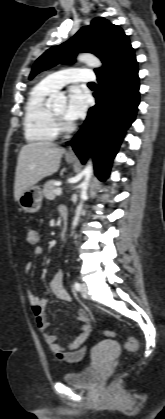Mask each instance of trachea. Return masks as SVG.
Returning a JSON list of instances; mask_svg holds the SVG:
<instances>
[{
  "instance_id": "trachea-1",
  "label": "trachea",
  "mask_w": 165,
  "mask_h": 419,
  "mask_svg": "<svg viewBox=\"0 0 165 419\" xmlns=\"http://www.w3.org/2000/svg\"><path fill=\"white\" fill-rule=\"evenodd\" d=\"M89 85H95V83L94 82H90Z\"/></svg>"
}]
</instances>
